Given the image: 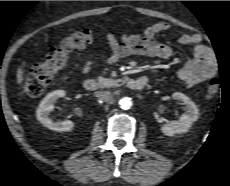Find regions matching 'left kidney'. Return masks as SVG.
<instances>
[{
  "instance_id": "left-kidney-1",
  "label": "left kidney",
  "mask_w": 230,
  "mask_h": 186,
  "mask_svg": "<svg viewBox=\"0 0 230 186\" xmlns=\"http://www.w3.org/2000/svg\"><path fill=\"white\" fill-rule=\"evenodd\" d=\"M172 97L173 99L182 102L185 105L186 111L180 116L178 121H172L161 127L162 133L167 136H173L188 131L199 117V110L196 104L185 94L175 92Z\"/></svg>"
}]
</instances>
